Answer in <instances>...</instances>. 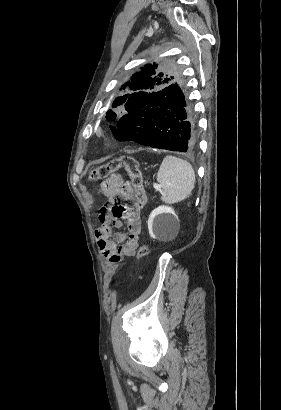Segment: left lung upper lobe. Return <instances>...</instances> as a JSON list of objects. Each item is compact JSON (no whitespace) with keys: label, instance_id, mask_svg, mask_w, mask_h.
<instances>
[{"label":"left lung upper lobe","instance_id":"obj_1","mask_svg":"<svg viewBox=\"0 0 281 410\" xmlns=\"http://www.w3.org/2000/svg\"><path fill=\"white\" fill-rule=\"evenodd\" d=\"M180 80V72L174 65L166 62L148 64L142 68L141 72L132 76L131 82L122 86L121 89L127 94L117 97L113 102V107L120 106L128 112L127 114L136 113L149 103L156 92ZM106 118L114 121L118 116L109 110ZM113 129L115 128L111 127V130Z\"/></svg>","mask_w":281,"mask_h":410}]
</instances>
